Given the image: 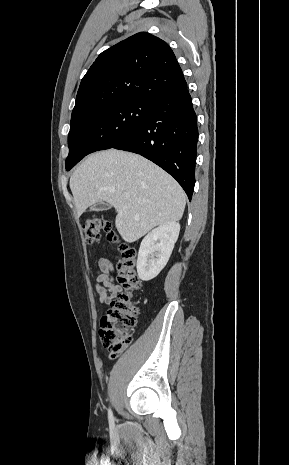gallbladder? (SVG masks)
I'll list each match as a JSON object with an SVG mask.
<instances>
[{"instance_id": "1", "label": "gallbladder", "mask_w": 289, "mask_h": 465, "mask_svg": "<svg viewBox=\"0 0 289 465\" xmlns=\"http://www.w3.org/2000/svg\"><path fill=\"white\" fill-rule=\"evenodd\" d=\"M109 208H111V205L109 203L98 202V203L94 204L91 207V210H93V211H103V210H107Z\"/></svg>"}]
</instances>
